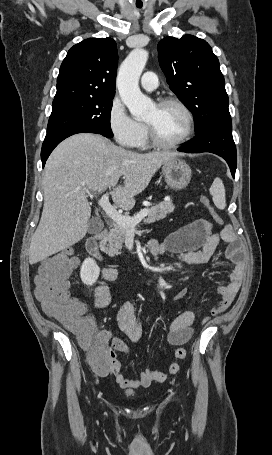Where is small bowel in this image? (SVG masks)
Returning a JSON list of instances; mask_svg holds the SVG:
<instances>
[{"instance_id": "c3829d8e", "label": "small bowel", "mask_w": 272, "mask_h": 455, "mask_svg": "<svg viewBox=\"0 0 272 455\" xmlns=\"http://www.w3.org/2000/svg\"><path fill=\"white\" fill-rule=\"evenodd\" d=\"M227 243L226 256L232 262L234 268L230 273V281L225 286L218 287L221 300L211 310L212 314H219L225 311L232 303L240 289L244 275L245 263L242 259L241 249L232 228L226 227L221 232H215L211 222L205 219L195 220L171 233L164 241L150 240L148 248L154 257L169 254L182 263L188 265H199L207 263L215 253L219 243ZM118 272L114 268H106L102 272L104 282L94 289L95 306L98 309L106 308L111 302V291L108 282L117 279ZM188 293L187 288L180 289L174 300L183 299ZM195 314L186 310L175 317L169 326L168 341L174 346L175 361L169 367L171 374H176L179 369V361L186 357V350L182 346L186 344L193 335V322ZM117 324L122 332L136 343L142 336L143 327L136 318L134 306L125 302L117 313ZM98 339L104 344H110L115 351L128 352V345L111 332L104 330L98 333ZM184 353L183 355L181 353ZM100 375L113 374L116 382L122 388L148 387L152 382H163L167 378L164 371L147 369L141 372L136 379L125 377L120 372L117 361L112 359L110 365L104 369H98Z\"/></svg>"}]
</instances>
